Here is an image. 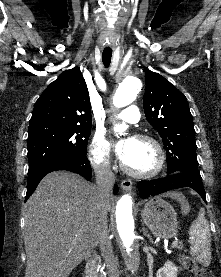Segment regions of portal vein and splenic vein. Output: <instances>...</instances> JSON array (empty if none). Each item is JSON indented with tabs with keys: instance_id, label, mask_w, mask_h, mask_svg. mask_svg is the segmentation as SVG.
<instances>
[{
	"instance_id": "18ae733b",
	"label": "portal vein and splenic vein",
	"mask_w": 221,
	"mask_h": 277,
	"mask_svg": "<svg viewBox=\"0 0 221 277\" xmlns=\"http://www.w3.org/2000/svg\"><path fill=\"white\" fill-rule=\"evenodd\" d=\"M171 247L172 248L178 247V241L177 240L173 241Z\"/></svg>"
}]
</instances>
